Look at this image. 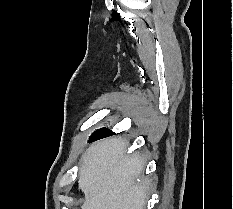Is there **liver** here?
<instances>
[{
    "label": "liver",
    "instance_id": "obj_1",
    "mask_svg": "<svg viewBox=\"0 0 233 209\" xmlns=\"http://www.w3.org/2000/svg\"><path fill=\"white\" fill-rule=\"evenodd\" d=\"M127 146L128 142L114 137L86 150L78 178L79 189L85 195L81 209H144V164L139 154L126 153Z\"/></svg>",
    "mask_w": 233,
    "mask_h": 209
}]
</instances>
